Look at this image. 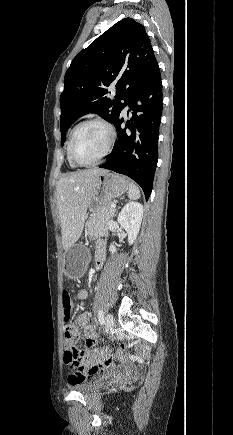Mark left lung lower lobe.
Wrapping results in <instances>:
<instances>
[{
    "label": "left lung lower lobe",
    "instance_id": "1",
    "mask_svg": "<svg viewBox=\"0 0 233 435\" xmlns=\"http://www.w3.org/2000/svg\"><path fill=\"white\" fill-rule=\"evenodd\" d=\"M162 83L158 64L128 101L132 119L126 127L119 117L114 126L118 134L109 159L100 167L129 176L148 200L158 160V136L162 116Z\"/></svg>",
    "mask_w": 233,
    "mask_h": 435
}]
</instances>
